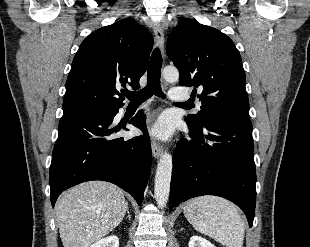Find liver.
I'll list each match as a JSON object with an SVG mask.
<instances>
[{
    "label": "liver",
    "mask_w": 310,
    "mask_h": 247,
    "mask_svg": "<svg viewBox=\"0 0 310 247\" xmlns=\"http://www.w3.org/2000/svg\"><path fill=\"white\" fill-rule=\"evenodd\" d=\"M128 203L120 188L104 181H90L65 192L55 206L64 247H89L123 220Z\"/></svg>",
    "instance_id": "liver-1"
}]
</instances>
